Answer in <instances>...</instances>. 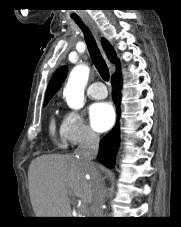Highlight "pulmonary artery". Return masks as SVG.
<instances>
[{
  "label": "pulmonary artery",
  "mask_w": 181,
  "mask_h": 227,
  "mask_svg": "<svg viewBox=\"0 0 181 227\" xmlns=\"http://www.w3.org/2000/svg\"><path fill=\"white\" fill-rule=\"evenodd\" d=\"M87 95L92 99H103L107 96V90L102 82H94L88 87Z\"/></svg>",
  "instance_id": "e3ab8cb5"
}]
</instances>
